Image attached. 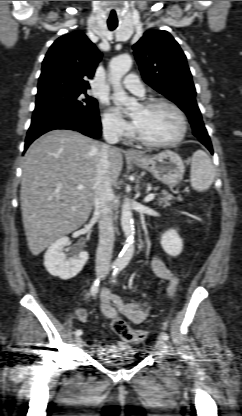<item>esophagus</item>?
<instances>
[{
  "label": "esophagus",
  "instance_id": "obj_1",
  "mask_svg": "<svg viewBox=\"0 0 242 416\" xmlns=\"http://www.w3.org/2000/svg\"><path fill=\"white\" fill-rule=\"evenodd\" d=\"M125 154L128 157H131V158H141L142 157L141 153H139L138 151L133 150V149L126 150Z\"/></svg>",
  "mask_w": 242,
  "mask_h": 416
}]
</instances>
